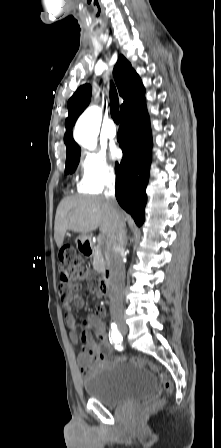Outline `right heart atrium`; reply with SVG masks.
<instances>
[{
  "mask_svg": "<svg viewBox=\"0 0 221 448\" xmlns=\"http://www.w3.org/2000/svg\"><path fill=\"white\" fill-rule=\"evenodd\" d=\"M80 166L79 188L84 192H98L116 179L114 165L103 153L85 152L81 157Z\"/></svg>",
  "mask_w": 221,
  "mask_h": 448,
  "instance_id": "d8ad5b80",
  "label": "right heart atrium"
}]
</instances>
